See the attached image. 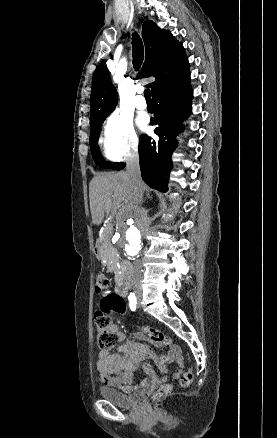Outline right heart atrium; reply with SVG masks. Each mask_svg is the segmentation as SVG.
Wrapping results in <instances>:
<instances>
[{"instance_id": "obj_1", "label": "right heart atrium", "mask_w": 277, "mask_h": 438, "mask_svg": "<svg viewBox=\"0 0 277 438\" xmlns=\"http://www.w3.org/2000/svg\"><path fill=\"white\" fill-rule=\"evenodd\" d=\"M105 134L106 140L119 157H127L137 152L139 137L127 113H113L106 123Z\"/></svg>"}]
</instances>
